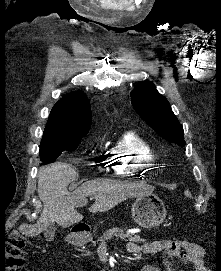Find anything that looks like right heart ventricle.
I'll use <instances>...</instances> for the list:
<instances>
[{"instance_id":"obj_1","label":"right heart ventricle","mask_w":221,"mask_h":271,"mask_svg":"<svg viewBox=\"0 0 221 271\" xmlns=\"http://www.w3.org/2000/svg\"><path fill=\"white\" fill-rule=\"evenodd\" d=\"M122 151H129L133 154H116L115 158H108V163L124 164L126 166H113L114 176H122V179H139L147 173L141 169H148L157 161V153L154 146L143 138H120L117 143ZM129 164H135L129 165Z\"/></svg>"}]
</instances>
